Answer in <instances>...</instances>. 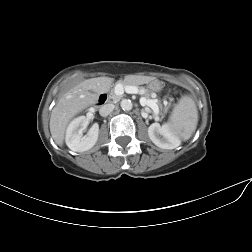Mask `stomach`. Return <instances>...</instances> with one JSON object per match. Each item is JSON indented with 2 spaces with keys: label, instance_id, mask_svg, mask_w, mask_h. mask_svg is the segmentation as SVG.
Masks as SVG:
<instances>
[{
  "label": "stomach",
  "instance_id": "stomach-1",
  "mask_svg": "<svg viewBox=\"0 0 252 252\" xmlns=\"http://www.w3.org/2000/svg\"><path fill=\"white\" fill-rule=\"evenodd\" d=\"M148 87L152 91H159L162 89V83L158 80H152L148 83Z\"/></svg>",
  "mask_w": 252,
  "mask_h": 252
}]
</instances>
